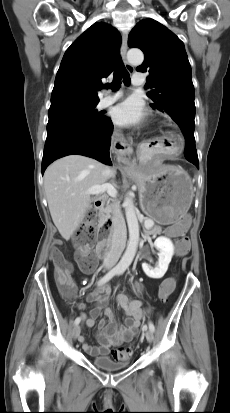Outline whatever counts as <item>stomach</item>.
<instances>
[{
    "label": "stomach",
    "instance_id": "0dacf381",
    "mask_svg": "<svg viewBox=\"0 0 230 413\" xmlns=\"http://www.w3.org/2000/svg\"><path fill=\"white\" fill-rule=\"evenodd\" d=\"M142 211L168 225L184 216L192 202L193 187L186 172L175 166L142 169L136 174Z\"/></svg>",
    "mask_w": 230,
    "mask_h": 413
}]
</instances>
